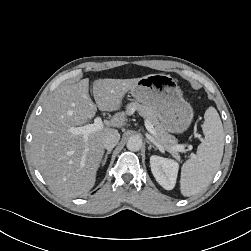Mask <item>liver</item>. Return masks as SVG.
I'll list each match as a JSON object with an SVG mask.
<instances>
[{"label": "liver", "mask_w": 251, "mask_h": 251, "mask_svg": "<svg viewBox=\"0 0 251 251\" xmlns=\"http://www.w3.org/2000/svg\"><path fill=\"white\" fill-rule=\"evenodd\" d=\"M139 81L98 79L89 95V80L82 79L57 89L44 104L33 127L31 151L34 162L47 184L69 197L87 194L94 186L104 154V138L126 124V116L116 113L101 130L74 135L69 129L92 119L97 111L119 110L125 94Z\"/></svg>", "instance_id": "obj_1"}]
</instances>
